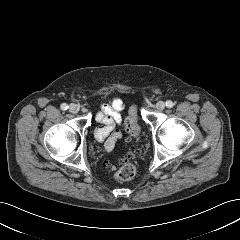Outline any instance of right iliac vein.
I'll list each match as a JSON object with an SVG mask.
<instances>
[{"instance_id":"right-iliac-vein-1","label":"right iliac vein","mask_w":240,"mask_h":240,"mask_svg":"<svg viewBox=\"0 0 240 240\" xmlns=\"http://www.w3.org/2000/svg\"><path fill=\"white\" fill-rule=\"evenodd\" d=\"M69 111L73 114H76L79 111L78 105L74 103L70 104Z\"/></svg>"}]
</instances>
